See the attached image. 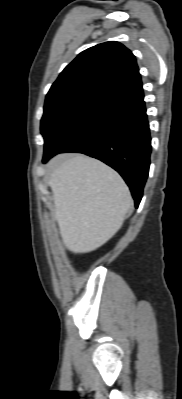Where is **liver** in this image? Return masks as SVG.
Listing matches in <instances>:
<instances>
[{
	"label": "liver",
	"mask_w": 182,
	"mask_h": 399,
	"mask_svg": "<svg viewBox=\"0 0 182 399\" xmlns=\"http://www.w3.org/2000/svg\"><path fill=\"white\" fill-rule=\"evenodd\" d=\"M49 186L62 242L73 253L105 244L121 228L133 203L117 172L84 155L54 158Z\"/></svg>",
	"instance_id": "6515ba94"
}]
</instances>
